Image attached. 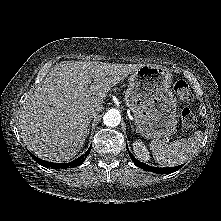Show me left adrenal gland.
Here are the masks:
<instances>
[{"label":"left adrenal gland","instance_id":"a2214340","mask_svg":"<svg viewBox=\"0 0 221 221\" xmlns=\"http://www.w3.org/2000/svg\"><path fill=\"white\" fill-rule=\"evenodd\" d=\"M130 126H131L132 132H133V131H134V127H133V125L131 124V122H130Z\"/></svg>","mask_w":221,"mask_h":221}]
</instances>
